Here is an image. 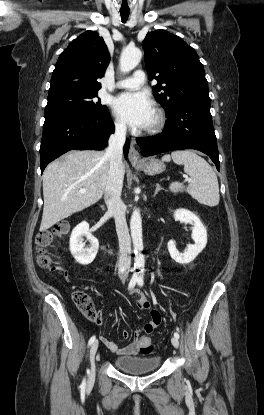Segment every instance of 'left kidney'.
<instances>
[{"mask_svg":"<svg viewBox=\"0 0 264 415\" xmlns=\"http://www.w3.org/2000/svg\"><path fill=\"white\" fill-rule=\"evenodd\" d=\"M174 218L184 222L185 224H191L193 226L191 237L194 244L188 245L187 251L179 252L176 248L174 240H170L167 244L168 251L171 258L177 263L189 264L205 248L207 244V230L198 216L187 209L180 208L175 210Z\"/></svg>","mask_w":264,"mask_h":415,"instance_id":"obj_1","label":"left kidney"}]
</instances>
